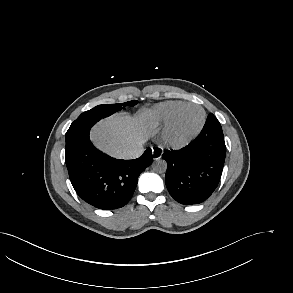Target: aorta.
Segmentation results:
<instances>
[{
	"mask_svg": "<svg viewBox=\"0 0 293 293\" xmlns=\"http://www.w3.org/2000/svg\"><path fill=\"white\" fill-rule=\"evenodd\" d=\"M154 171L158 173H164L167 170V163L164 159L157 158L153 163Z\"/></svg>",
	"mask_w": 293,
	"mask_h": 293,
	"instance_id": "obj_1",
	"label": "aorta"
}]
</instances>
